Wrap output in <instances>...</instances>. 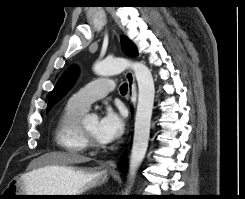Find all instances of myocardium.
<instances>
[{
    "label": "myocardium",
    "mask_w": 245,
    "mask_h": 199,
    "mask_svg": "<svg viewBox=\"0 0 245 199\" xmlns=\"http://www.w3.org/2000/svg\"><path fill=\"white\" fill-rule=\"evenodd\" d=\"M80 136L86 146L87 149H99L101 147V143L94 140L85 130L83 126V122H80L79 125Z\"/></svg>",
    "instance_id": "f54148a6"
}]
</instances>
